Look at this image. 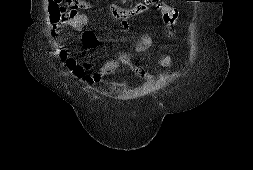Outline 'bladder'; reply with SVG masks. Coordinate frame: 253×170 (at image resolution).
<instances>
[{"instance_id": "1", "label": "bladder", "mask_w": 253, "mask_h": 170, "mask_svg": "<svg viewBox=\"0 0 253 170\" xmlns=\"http://www.w3.org/2000/svg\"><path fill=\"white\" fill-rule=\"evenodd\" d=\"M112 90H115L117 88V85L116 84H112L111 87H110Z\"/></svg>"}]
</instances>
